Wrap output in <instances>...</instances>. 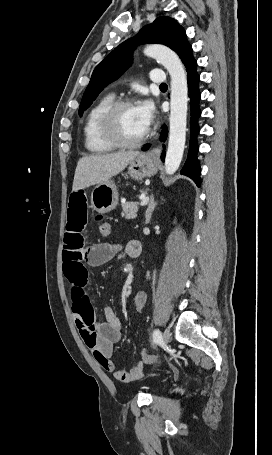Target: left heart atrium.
Returning a JSON list of instances; mask_svg holds the SVG:
<instances>
[{
    "mask_svg": "<svg viewBox=\"0 0 272 455\" xmlns=\"http://www.w3.org/2000/svg\"><path fill=\"white\" fill-rule=\"evenodd\" d=\"M136 109L144 129L147 131L155 117L154 105L150 100H143L136 106Z\"/></svg>",
    "mask_w": 272,
    "mask_h": 455,
    "instance_id": "1",
    "label": "left heart atrium"
}]
</instances>
